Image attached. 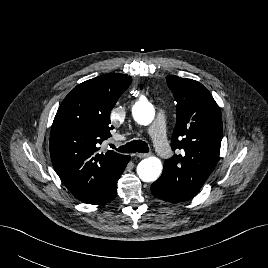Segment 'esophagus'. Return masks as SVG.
<instances>
[{"label":"esophagus","instance_id":"1","mask_svg":"<svg viewBox=\"0 0 268 268\" xmlns=\"http://www.w3.org/2000/svg\"><path fill=\"white\" fill-rule=\"evenodd\" d=\"M150 155V153H137L136 156L138 158H146Z\"/></svg>","mask_w":268,"mask_h":268}]
</instances>
